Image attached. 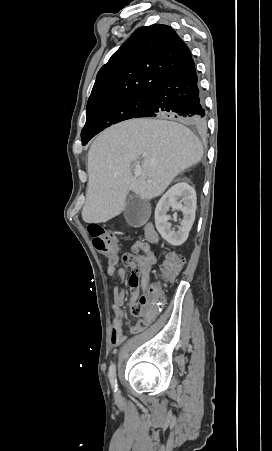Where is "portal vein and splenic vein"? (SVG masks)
Here are the masks:
<instances>
[{
  "label": "portal vein and splenic vein",
  "instance_id": "1",
  "mask_svg": "<svg viewBox=\"0 0 272 451\" xmlns=\"http://www.w3.org/2000/svg\"><path fill=\"white\" fill-rule=\"evenodd\" d=\"M134 174H135V178H139V176H141L142 172H141V170H135ZM148 182H149V180H148Z\"/></svg>",
  "mask_w": 272,
  "mask_h": 451
}]
</instances>
